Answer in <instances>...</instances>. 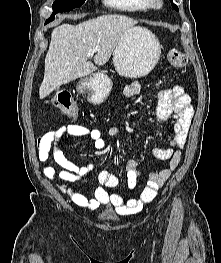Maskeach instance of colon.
I'll return each instance as SVG.
<instances>
[{
	"instance_id": "1",
	"label": "colon",
	"mask_w": 221,
	"mask_h": 263,
	"mask_svg": "<svg viewBox=\"0 0 221 263\" xmlns=\"http://www.w3.org/2000/svg\"><path fill=\"white\" fill-rule=\"evenodd\" d=\"M167 58L169 63L177 68H182L187 64L185 54L177 48L170 49ZM51 102L65 116L69 118H76L78 116V107L74 99L69 94L58 93L54 95Z\"/></svg>"
}]
</instances>
